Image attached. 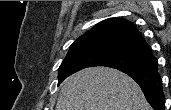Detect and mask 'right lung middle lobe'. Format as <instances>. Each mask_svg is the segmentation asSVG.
I'll return each mask as SVG.
<instances>
[{
  "instance_id": "obj_1",
  "label": "right lung middle lobe",
  "mask_w": 171,
  "mask_h": 110,
  "mask_svg": "<svg viewBox=\"0 0 171 110\" xmlns=\"http://www.w3.org/2000/svg\"><path fill=\"white\" fill-rule=\"evenodd\" d=\"M157 65V59L134 49L102 42L70 47L59 67L58 84L69 75L87 67L106 66L122 72L147 70Z\"/></svg>"
}]
</instances>
